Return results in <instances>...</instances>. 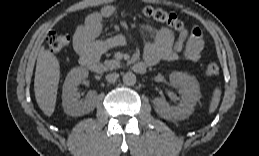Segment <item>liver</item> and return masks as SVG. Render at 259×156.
Listing matches in <instances>:
<instances>
[{"mask_svg":"<svg viewBox=\"0 0 259 156\" xmlns=\"http://www.w3.org/2000/svg\"><path fill=\"white\" fill-rule=\"evenodd\" d=\"M59 78L60 65L58 59L42 46L36 63L34 92L39 108L48 117L55 110Z\"/></svg>","mask_w":259,"mask_h":156,"instance_id":"liver-1","label":"liver"}]
</instances>
